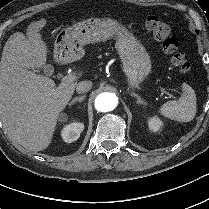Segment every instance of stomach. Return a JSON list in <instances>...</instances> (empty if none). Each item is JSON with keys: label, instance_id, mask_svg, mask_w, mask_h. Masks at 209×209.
Wrapping results in <instances>:
<instances>
[{"label": "stomach", "instance_id": "1", "mask_svg": "<svg viewBox=\"0 0 209 209\" xmlns=\"http://www.w3.org/2000/svg\"><path fill=\"white\" fill-rule=\"evenodd\" d=\"M111 38L116 40L129 87L138 89L151 73L150 55L131 31L110 17H91L62 29L55 38V56L61 61L76 60L84 55L83 46Z\"/></svg>", "mask_w": 209, "mask_h": 209}]
</instances>
